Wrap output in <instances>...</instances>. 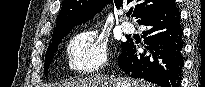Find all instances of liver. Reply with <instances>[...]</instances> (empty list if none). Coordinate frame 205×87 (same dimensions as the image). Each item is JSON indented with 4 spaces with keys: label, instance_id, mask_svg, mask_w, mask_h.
I'll use <instances>...</instances> for the list:
<instances>
[{
    "label": "liver",
    "instance_id": "1",
    "mask_svg": "<svg viewBox=\"0 0 205 87\" xmlns=\"http://www.w3.org/2000/svg\"><path fill=\"white\" fill-rule=\"evenodd\" d=\"M57 87H153L150 83L133 79L117 80L112 77L96 76L73 80L68 83L58 84Z\"/></svg>",
    "mask_w": 205,
    "mask_h": 87
}]
</instances>
